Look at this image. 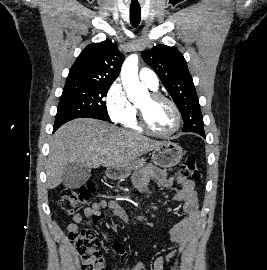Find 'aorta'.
<instances>
[{
	"label": "aorta",
	"instance_id": "obj_1",
	"mask_svg": "<svg viewBox=\"0 0 267 270\" xmlns=\"http://www.w3.org/2000/svg\"><path fill=\"white\" fill-rule=\"evenodd\" d=\"M121 80L130 101H136L148 93L147 88L139 81L138 56L132 54L124 61L121 69Z\"/></svg>",
	"mask_w": 267,
	"mask_h": 270
}]
</instances>
